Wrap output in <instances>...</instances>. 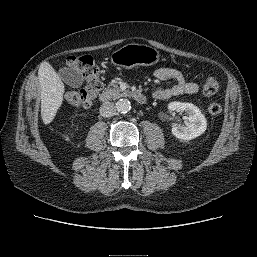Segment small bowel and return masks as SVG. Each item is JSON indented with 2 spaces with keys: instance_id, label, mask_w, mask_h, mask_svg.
Wrapping results in <instances>:
<instances>
[{
  "instance_id": "obj_1",
  "label": "small bowel",
  "mask_w": 257,
  "mask_h": 257,
  "mask_svg": "<svg viewBox=\"0 0 257 257\" xmlns=\"http://www.w3.org/2000/svg\"><path fill=\"white\" fill-rule=\"evenodd\" d=\"M155 77L161 81L175 80L176 83L168 88L158 89L153 96L159 100H167L182 94H195L199 90V85L188 81L183 73L174 68L163 67L155 71Z\"/></svg>"
}]
</instances>
